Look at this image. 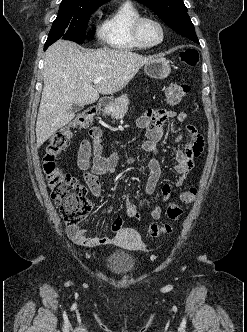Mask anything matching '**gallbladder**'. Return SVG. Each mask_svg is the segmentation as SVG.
Instances as JSON below:
<instances>
[{"instance_id":"1","label":"gallbladder","mask_w":247,"mask_h":332,"mask_svg":"<svg viewBox=\"0 0 247 332\" xmlns=\"http://www.w3.org/2000/svg\"><path fill=\"white\" fill-rule=\"evenodd\" d=\"M81 108H82L81 105L73 104L72 107H71V111H73V112H77V111H79Z\"/></svg>"}]
</instances>
